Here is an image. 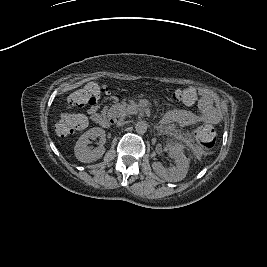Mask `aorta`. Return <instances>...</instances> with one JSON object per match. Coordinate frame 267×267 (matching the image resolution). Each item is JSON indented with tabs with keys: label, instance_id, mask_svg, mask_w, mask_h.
<instances>
[{
	"label": "aorta",
	"instance_id": "762f6f07",
	"mask_svg": "<svg viewBox=\"0 0 267 267\" xmlns=\"http://www.w3.org/2000/svg\"><path fill=\"white\" fill-rule=\"evenodd\" d=\"M147 127H148V125H147L146 121H144V120L138 121L135 125L136 131L138 133H141V134H143L147 131Z\"/></svg>",
	"mask_w": 267,
	"mask_h": 267
}]
</instances>
